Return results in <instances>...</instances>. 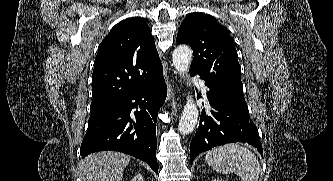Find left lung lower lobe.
I'll use <instances>...</instances> for the list:
<instances>
[{
  "mask_svg": "<svg viewBox=\"0 0 333 181\" xmlns=\"http://www.w3.org/2000/svg\"><path fill=\"white\" fill-rule=\"evenodd\" d=\"M207 98L212 108L209 115L202 111L195 137L191 141L190 161L202 152L231 142L248 143L263 156L258 129L250 119L246 104L239 103L220 87L205 81Z\"/></svg>",
  "mask_w": 333,
  "mask_h": 181,
  "instance_id": "0a47b994",
  "label": "left lung lower lobe"
}]
</instances>
